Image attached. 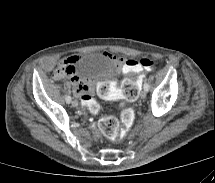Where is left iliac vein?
Returning a JSON list of instances; mask_svg holds the SVG:
<instances>
[{"instance_id": "1", "label": "left iliac vein", "mask_w": 215, "mask_h": 183, "mask_svg": "<svg viewBox=\"0 0 215 183\" xmlns=\"http://www.w3.org/2000/svg\"><path fill=\"white\" fill-rule=\"evenodd\" d=\"M140 97L144 99L146 97V90L141 91Z\"/></svg>"}]
</instances>
